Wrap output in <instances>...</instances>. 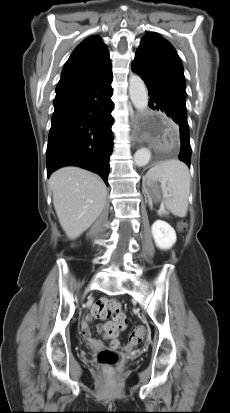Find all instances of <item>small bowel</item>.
<instances>
[{
	"mask_svg": "<svg viewBox=\"0 0 230 413\" xmlns=\"http://www.w3.org/2000/svg\"><path fill=\"white\" fill-rule=\"evenodd\" d=\"M92 315H88L86 319L82 323V334L83 336L91 342L93 345H99L100 341L97 340L92 336L91 330L89 323L92 319ZM127 326V318L124 314H120L115 320H110L103 325L98 326V330L102 332L104 338H112L110 336L109 330L113 327H115V337L118 335V333L122 330H124Z\"/></svg>",
	"mask_w": 230,
	"mask_h": 413,
	"instance_id": "c3829d8e",
	"label": "small bowel"
}]
</instances>
